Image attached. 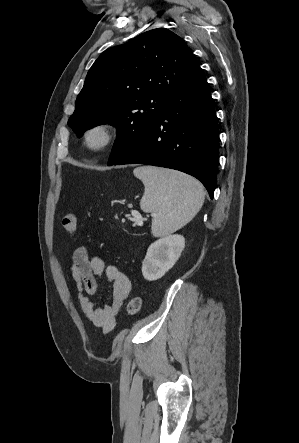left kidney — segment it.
<instances>
[{"label":"left kidney","mask_w":299,"mask_h":443,"mask_svg":"<svg viewBox=\"0 0 299 443\" xmlns=\"http://www.w3.org/2000/svg\"><path fill=\"white\" fill-rule=\"evenodd\" d=\"M185 239L179 234L168 235L152 243L142 262V274L148 281L161 278L181 256Z\"/></svg>","instance_id":"left-kidney-1"}]
</instances>
